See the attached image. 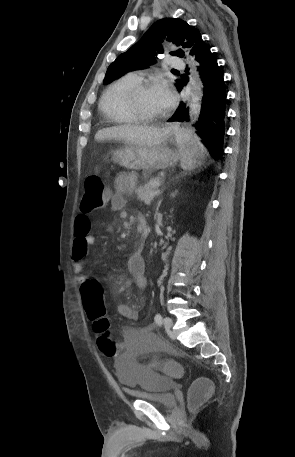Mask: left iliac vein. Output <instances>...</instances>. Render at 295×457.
I'll return each instance as SVG.
<instances>
[{
	"mask_svg": "<svg viewBox=\"0 0 295 457\" xmlns=\"http://www.w3.org/2000/svg\"><path fill=\"white\" fill-rule=\"evenodd\" d=\"M163 324H164V328L166 329V331L171 332L172 326H173L172 319L169 317H165L163 320Z\"/></svg>",
	"mask_w": 295,
	"mask_h": 457,
	"instance_id": "obj_1",
	"label": "left iliac vein"
}]
</instances>
